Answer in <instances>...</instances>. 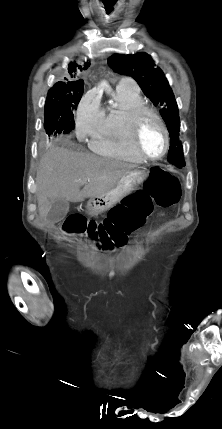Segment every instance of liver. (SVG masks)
<instances>
[{"label":"liver","mask_w":222,"mask_h":429,"mask_svg":"<svg viewBox=\"0 0 222 429\" xmlns=\"http://www.w3.org/2000/svg\"><path fill=\"white\" fill-rule=\"evenodd\" d=\"M134 168L136 165L87 152L50 148L42 157L36 176L40 217H47L56 200L81 202L108 192Z\"/></svg>","instance_id":"6515ba94"}]
</instances>
